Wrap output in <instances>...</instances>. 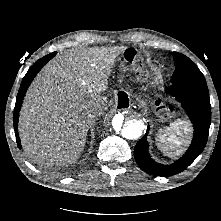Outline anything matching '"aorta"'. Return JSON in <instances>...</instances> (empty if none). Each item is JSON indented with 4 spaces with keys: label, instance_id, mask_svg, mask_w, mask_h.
Returning a JSON list of instances; mask_svg holds the SVG:
<instances>
[{
    "label": "aorta",
    "instance_id": "obj_1",
    "mask_svg": "<svg viewBox=\"0 0 221 221\" xmlns=\"http://www.w3.org/2000/svg\"><path fill=\"white\" fill-rule=\"evenodd\" d=\"M145 123L137 114H116L112 119L113 132L124 140H135L140 138Z\"/></svg>",
    "mask_w": 221,
    "mask_h": 221
}]
</instances>
